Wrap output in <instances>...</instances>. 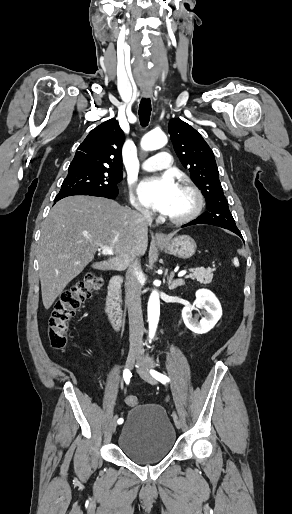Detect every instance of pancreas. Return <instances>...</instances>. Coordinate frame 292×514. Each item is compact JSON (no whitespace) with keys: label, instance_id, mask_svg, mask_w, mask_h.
Masks as SVG:
<instances>
[{"label":"pancreas","instance_id":"cf45deb5","mask_svg":"<svg viewBox=\"0 0 292 514\" xmlns=\"http://www.w3.org/2000/svg\"><path fill=\"white\" fill-rule=\"evenodd\" d=\"M192 274L186 276V278H191V280H197L200 284H211L214 270L211 268H194V270H190Z\"/></svg>","mask_w":292,"mask_h":514}]
</instances>
